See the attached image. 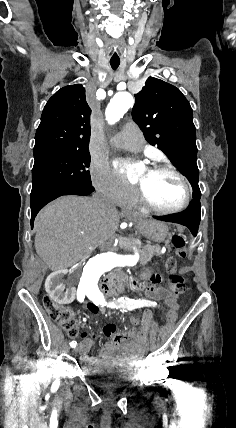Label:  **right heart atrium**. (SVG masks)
Segmentation results:
<instances>
[{"instance_id":"d8ad5b80","label":"right heart atrium","mask_w":236,"mask_h":428,"mask_svg":"<svg viewBox=\"0 0 236 428\" xmlns=\"http://www.w3.org/2000/svg\"><path fill=\"white\" fill-rule=\"evenodd\" d=\"M90 180L93 188L112 206H123L134 197L135 191L118 179L106 162L96 161L91 166Z\"/></svg>"}]
</instances>
